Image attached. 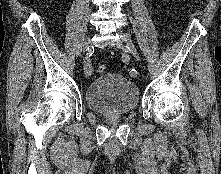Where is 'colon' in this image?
I'll use <instances>...</instances> for the list:
<instances>
[{
    "label": "colon",
    "instance_id": "5ec220e1",
    "mask_svg": "<svg viewBox=\"0 0 221 174\" xmlns=\"http://www.w3.org/2000/svg\"><path fill=\"white\" fill-rule=\"evenodd\" d=\"M107 67L105 65H99L97 67V72L98 73H104L106 71Z\"/></svg>",
    "mask_w": 221,
    "mask_h": 174
}]
</instances>
